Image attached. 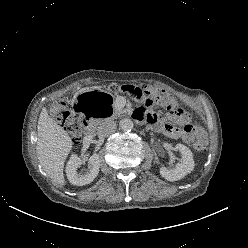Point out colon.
Returning a JSON list of instances; mask_svg holds the SVG:
<instances>
[{
  "label": "colon",
  "mask_w": 248,
  "mask_h": 248,
  "mask_svg": "<svg viewBox=\"0 0 248 248\" xmlns=\"http://www.w3.org/2000/svg\"><path fill=\"white\" fill-rule=\"evenodd\" d=\"M112 91H123L134 99L147 106H155L161 111H166L177 117H187L186 112L181 109L177 101L163 90H143L134 85L111 86ZM50 116L59 123L70 135L73 142L78 143L82 137L81 120L69 108L64 100L56 101L50 108ZM194 149L198 152L205 150V140H197Z\"/></svg>",
  "instance_id": "obj_1"
}]
</instances>
